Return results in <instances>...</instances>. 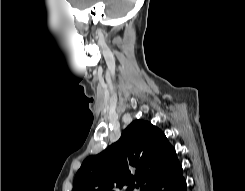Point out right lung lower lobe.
Returning <instances> with one entry per match:
<instances>
[{
	"label": "right lung lower lobe",
	"mask_w": 245,
	"mask_h": 191,
	"mask_svg": "<svg viewBox=\"0 0 245 191\" xmlns=\"http://www.w3.org/2000/svg\"><path fill=\"white\" fill-rule=\"evenodd\" d=\"M149 191H187L182 167L177 166L171 173L159 179Z\"/></svg>",
	"instance_id": "right-lung-lower-lobe-1"
}]
</instances>
